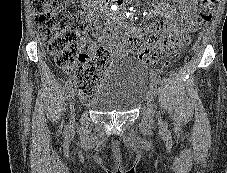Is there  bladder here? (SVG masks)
Returning <instances> with one entry per match:
<instances>
[{
	"label": "bladder",
	"instance_id": "1",
	"mask_svg": "<svg viewBox=\"0 0 227 173\" xmlns=\"http://www.w3.org/2000/svg\"><path fill=\"white\" fill-rule=\"evenodd\" d=\"M147 86L146 67L132 57L120 59L106 70L90 106L103 113L133 111L144 101Z\"/></svg>",
	"mask_w": 227,
	"mask_h": 173
}]
</instances>
